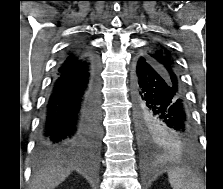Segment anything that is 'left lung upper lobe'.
Instances as JSON below:
<instances>
[{"label":"left lung upper lobe","instance_id":"left-lung-upper-lobe-1","mask_svg":"<svg viewBox=\"0 0 223 189\" xmlns=\"http://www.w3.org/2000/svg\"><path fill=\"white\" fill-rule=\"evenodd\" d=\"M139 60L147 61L161 69L168 77L181 87V80L177 64L171 52L160 43H152L142 52ZM141 141L147 147L179 148L186 149L190 146L183 145L168 129L159 124L139 130Z\"/></svg>","mask_w":223,"mask_h":189}]
</instances>
